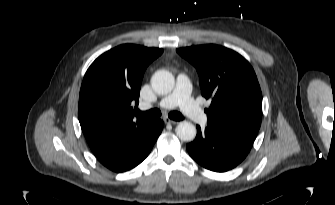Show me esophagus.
<instances>
[{
	"label": "esophagus",
	"instance_id": "34e87169",
	"mask_svg": "<svg viewBox=\"0 0 335 205\" xmlns=\"http://www.w3.org/2000/svg\"><path fill=\"white\" fill-rule=\"evenodd\" d=\"M164 122H165L166 124H178V121L172 120V119H170V118H168V117H165V118H164Z\"/></svg>",
	"mask_w": 335,
	"mask_h": 205
}]
</instances>
